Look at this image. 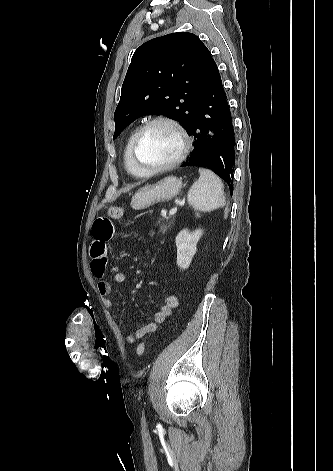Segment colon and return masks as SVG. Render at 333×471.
Wrapping results in <instances>:
<instances>
[{
    "mask_svg": "<svg viewBox=\"0 0 333 471\" xmlns=\"http://www.w3.org/2000/svg\"><path fill=\"white\" fill-rule=\"evenodd\" d=\"M108 215L113 219L121 218L124 215V209L119 206H111L108 208ZM146 348V344L144 342L140 343L137 346L136 353L138 356H141Z\"/></svg>",
    "mask_w": 333,
    "mask_h": 471,
    "instance_id": "obj_1",
    "label": "colon"
}]
</instances>
